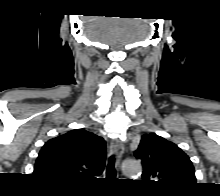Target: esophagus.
Returning <instances> with one entry per match:
<instances>
[{"mask_svg":"<svg viewBox=\"0 0 220 196\" xmlns=\"http://www.w3.org/2000/svg\"><path fill=\"white\" fill-rule=\"evenodd\" d=\"M110 151L112 154H115L117 166L120 165V160L124 152V145L119 139H114L110 145Z\"/></svg>","mask_w":220,"mask_h":196,"instance_id":"esophagus-1","label":"esophagus"}]
</instances>
